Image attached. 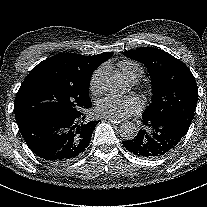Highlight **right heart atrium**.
<instances>
[{
    "mask_svg": "<svg viewBox=\"0 0 207 207\" xmlns=\"http://www.w3.org/2000/svg\"><path fill=\"white\" fill-rule=\"evenodd\" d=\"M107 70H108V65L103 64L93 72L90 79V88L92 92H94L95 94H100L103 91L104 89L103 79Z\"/></svg>",
    "mask_w": 207,
    "mask_h": 207,
    "instance_id": "obj_1",
    "label": "right heart atrium"
}]
</instances>
